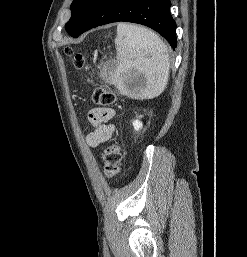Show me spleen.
Here are the masks:
<instances>
[{"label":"spleen","mask_w":247,"mask_h":257,"mask_svg":"<svg viewBox=\"0 0 247 257\" xmlns=\"http://www.w3.org/2000/svg\"><path fill=\"white\" fill-rule=\"evenodd\" d=\"M117 66L107 79L122 94L129 95L126 82L140 74L144 87L135 97L154 98L165 89L169 78V53L167 46L150 29L119 23L115 38Z\"/></svg>","instance_id":"1"}]
</instances>
